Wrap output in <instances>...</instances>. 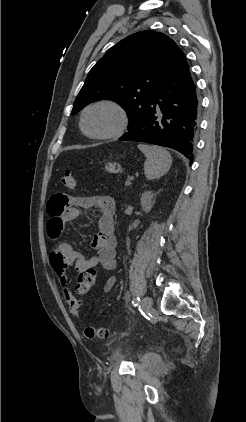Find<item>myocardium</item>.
<instances>
[{
	"label": "myocardium",
	"mask_w": 246,
	"mask_h": 422,
	"mask_svg": "<svg viewBox=\"0 0 246 422\" xmlns=\"http://www.w3.org/2000/svg\"><path fill=\"white\" fill-rule=\"evenodd\" d=\"M99 106H107V107L112 108L118 115V123H117V126L109 132L101 133V134H93V133H90L85 127V116L89 110L95 107H99ZM128 124H129V117L124 107L118 102L114 100H110V99H101V100H97L88 104L82 110L80 114V119H79V126L82 133L88 138H91L94 140H109V139L117 138L126 131Z\"/></svg>",
	"instance_id": "obj_1"
}]
</instances>
